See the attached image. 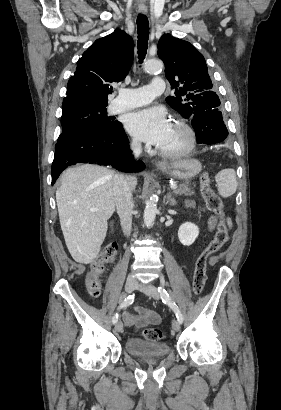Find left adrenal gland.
<instances>
[{
    "instance_id": "1",
    "label": "left adrenal gland",
    "mask_w": 281,
    "mask_h": 410,
    "mask_svg": "<svg viewBox=\"0 0 281 410\" xmlns=\"http://www.w3.org/2000/svg\"><path fill=\"white\" fill-rule=\"evenodd\" d=\"M166 198V203H169L171 206H175L176 205V200L174 198L171 197V193H168Z\"/></svg>"
}]
</instances>
